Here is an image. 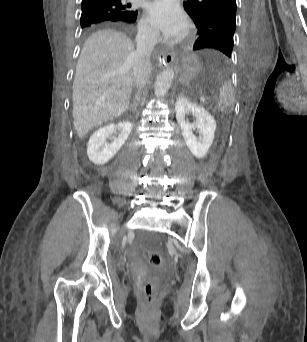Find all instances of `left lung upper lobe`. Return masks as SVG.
<instances>
[{
    "mask_svg": "<svg viewBox=\"0 0 307 342\" xmlns=\"http://www.w3.org/2000/svg\"><path fill=\"white\" fill-rule=\"evenodd\" d=\"M198 29L193 49H215L229 56L235 33L236 0H188L183 3Z\"/></svg>",
    "mask_w": 307,
    "mask_h": 342,
    "instance_id": "obj_1",
    "label": "left lung upper lobe"
}]
</instances>
